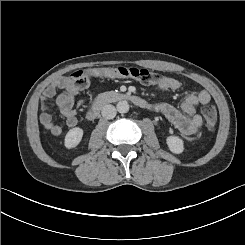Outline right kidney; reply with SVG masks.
<instances>
[{"label": "right kidney", "mask_w": 245, "mask_h": 245, "mask_svg": "<svg viewBox=\"0 0 245 245\" xmlns=\"http://www.w3.org/2000/svg\"><path fill=\"white\" fill-rule=\"evenodd\" d=\"M69 134V149L77 147L84 135V130L80 127H74L68 131Z\"/></svg>", "instance_id": "obj_1"}]
</instances>
